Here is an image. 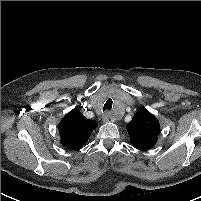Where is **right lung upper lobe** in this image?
I'll list each match as a JSON object with an SVG mask.
<instances>
[{
    "label": "right lung upper lobe",
    "instance_id": "obj_1",
    "mask_svg": "<svg viewBox=\"0 0 201 201\" xmlns=\"http://www.w3.org/2000/svg\"><path fill=\"white\" fill-rule=\"evenodd\" d=\"M96 127V122L87 119L80 110L75 107L64 116L58 126L61 143L63 146L72 150L81 149Z\"/></svg>",
    "mask_w": 201,
    "mask_h": 201
}]
</instances>
